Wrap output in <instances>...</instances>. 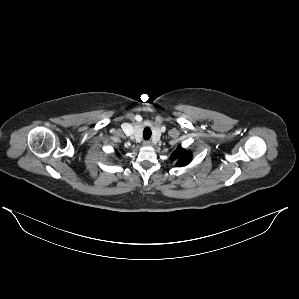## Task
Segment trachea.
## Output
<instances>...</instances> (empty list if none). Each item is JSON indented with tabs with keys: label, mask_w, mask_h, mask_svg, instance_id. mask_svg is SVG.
<instances>
[{
	"label": "trachea",
	"mask_w": 299,
	"mask_h": 299,
	"mask_svg": "<svg viewBox=\"0 0 299 299\" xmlns=\"http://www.w3.org/2000/svg\"><path fill=\"white\" fill-rule=\"evenodd\" d=\"M151 129L149 127H145L144 131H143V137L145 140H149L151 137Z\"/></svg>",
	"instance_id": "obj_1"
}]
</instances>
